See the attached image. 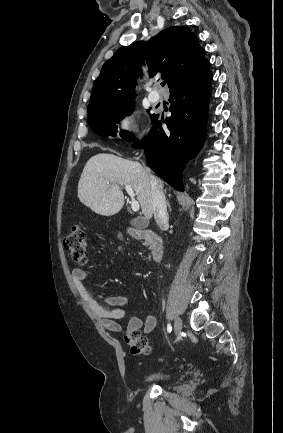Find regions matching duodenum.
Instances as JSON below:
<instances>
[{
    "mask_svg": "<svg viewBox=\"0 0 283 433\" xmlns=\"http://www.w3.org/2000/svg\"><path fill=\"white\" fill-rule=\"evenodd\" d=\"M130 234L137 240L144 242L150 249L152 258L160 261L164 254L162 238L151 230L131 228Z\"/></svg>",
    "mask_w": 283,
    "mask_h": 433,
    "instance_id": "410a0bca",
    "label": "duodenum"
}]
</instances>
